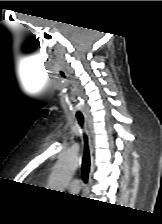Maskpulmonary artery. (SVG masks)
Instances as JSON below:
<instances>
[{"instance_id": "1", "label": "pulmonary artery", "mask_w": 162, "mask_h": 224, "mask_svg": "<svg viewBox=\"0 0 162 224\" xmlns=\"http://www.w3.org/2000/svg\"><path fill=\"white\" fill-rule=\"evenodd\" d=\"M80 187H81V180L79 178L75 177L69 181L68 189L70 192L77 193L80 190Z\"/></svg>"}]
</instances>
